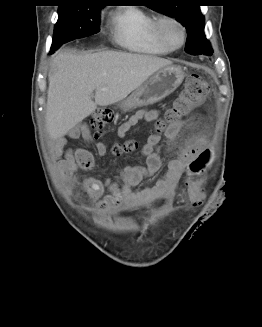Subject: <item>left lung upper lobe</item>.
<instances>
[{
  "label": "left lung upper lobe",
  "instance_id": "left-lung-upper-lobe-1",
  "mask_svg": "<svg viewBox=\"0 0 262 327\" xmlns=\"http://www.w3.org/2000/svg\"><path fill=\"white\" fill-rule=\"evenodd\" d=\"M150 3V8L175 18L186 27V52L212 55L213 50L205 37V20L199 5L193 4V0H151Z\"/></svg>",
  "mask_w": 262,
  "mask_h": 327
}]
</instances>
